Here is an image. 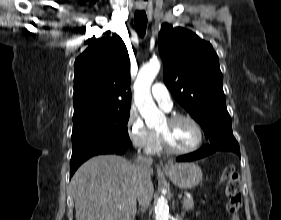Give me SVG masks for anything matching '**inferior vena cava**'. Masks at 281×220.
Segmentation results:
<instances>
[{
  "mask_svg": "<svg viewBox=\"0 0 281 220\" xmlns=\"http://www.w3.org/2000/svg\"><path fill=\"white\" fill-rule=\"evenodd\" d=\"M137 165L142 169H148L152 164V158L143 157L142 155L137 156ZM153 185L147 181H141L137 187V200L141 209L145 210L149 207L153 196Z\"/></svg>",
  "mask_w": 281,
  "mask_h": 220,
  "instance_id": "1",
  "label": "inferior vena cava"
}]
</instances>
